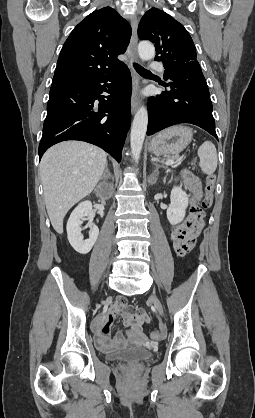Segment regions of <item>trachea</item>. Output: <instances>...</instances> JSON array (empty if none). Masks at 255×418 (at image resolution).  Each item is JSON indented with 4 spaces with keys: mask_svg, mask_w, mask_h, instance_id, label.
Listing matches in <instances>:
<instances>
[{
    "mask_svg": "<svg viewBox=\"0 0 255 418\" xmlns=\"http://www.w3.org/2000/svg\"><path fill=\"white\" fill-rule=\"evenodd\" d=\"M133 66H134L135 70H136V71H137L140 75H151V74H152L149 70H147V69L143 68L142 66H140V65H139V64H137V63H134V64H133Z\"/></svg>",
    "mask_w": 255,
    "mask_h": 418,
    "instance_id": "3493384b",
    "label": "trachea"
}]
</instances>
